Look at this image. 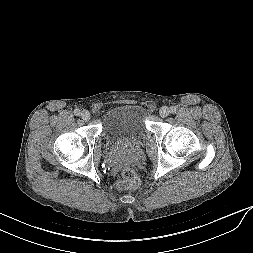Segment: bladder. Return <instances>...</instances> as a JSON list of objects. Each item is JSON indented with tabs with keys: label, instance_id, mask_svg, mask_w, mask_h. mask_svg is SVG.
Here are the masks:
<instances>
[{
	"label": "bladder",
	"instance_id": "31cf9c89",
	"mask_svg": "<svg viewBox=\"0 0 253 253\" xmlns=\"http://www.w3.org/2000/svg\"><path fill=\"white\" fill-rule=\"evenodd\" d=\"M146 109L135 103L111 108L102 121V131L110 145L129 146L140 143L147 134Z\"/></svg>",
	"mask_w": 253,
	"mask_h": 253
}]
</instances>
